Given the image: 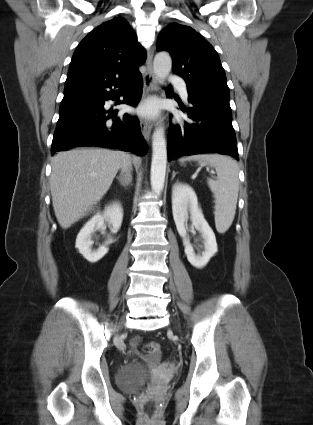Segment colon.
<instances>
[{
	"label": "colon",
	"instance_id": "5ec220e1",
	"mask_svg": "<svg viewBox=\"0 0 313 425\" xmlns=\"http://www.w3.org/2000/svg\"><path fill=\"white\" fill-rule=\"evenodd\" d=\"M142 351L146 354H153L160 351V345L157 342H148L143 345Z\"/></svg>",
	"mask_w": 313,
	"mask_h": 425
}]
</instances>
